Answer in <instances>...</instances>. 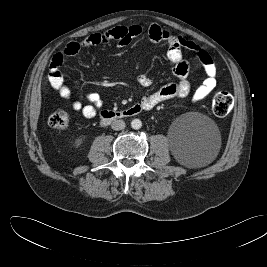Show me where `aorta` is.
<instances>
[{
  "label": "aorta",
  "instance_id": "762f6f07",
  "mask_svg": "<svg viewBox=\"0 0 267 267\" xmlns=\"http://www.w3.org/2000/svg\"><path fill=\"white\" fill-rule=\"evenodd\" d=\"M131 127L135 130H138L142 127V122L140 119H133L131 121Z\"/></svg>",
  "mask_w": 267,
  "mask_h": 267
}]
</instances>
